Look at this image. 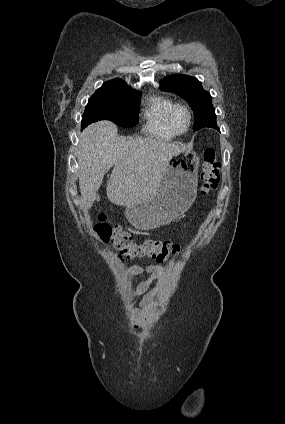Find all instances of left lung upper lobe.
<instances>
[{"instance_id": "5c2ea615", "label": "left lung upper lobe", "mask_w": 285, "mask_h": 424, "mask_svg": "<svg viewBox=\"0 0 285 424\" xmlns=\"http://www.w3.org/2000/svg\"><path fill=\"white\" fill-rule=\"evenodd\" d=\"M161 89L175 93L189 103L195 115L194 131L204 127L218 129L212 97L195 77L182 74L167 76L161 81Z\"/></svg>"}]
</instances>
